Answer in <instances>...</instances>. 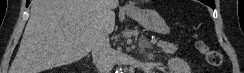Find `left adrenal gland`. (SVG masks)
<instances>
[{
  "instance_id": "1",
  "label": "left adrenal gland",
  "mask_w": 244,
  "mask_h": 73,
  "mask_svg": "<svg viewBox=\"0 0 244 73\" xmlns=\"http://www.w3.org/2000/svg\"><path fill=\"white\" fill-rule=\"evenodd\" d=\"M152 45L148 42V40L144 37V35L141 36L139 39V53L143 54L145 53V49H152Z\"/></svg>"
}]
</instances>
